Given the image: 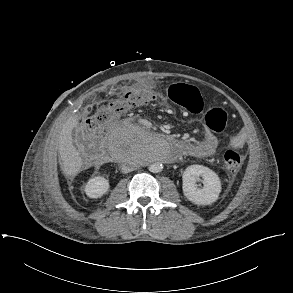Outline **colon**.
<instances>
[{
  "label": "colon",
  "instance_id": "5ec220e1",
  "mask_svg": "<svg viewBox=\"0 0 293 293\" xmlns=\"http://www.w3.org/2000/svg\"><path fill=\"white\" fill-rule=\"evenodd\" d=\"M153 93L145 87H133L125 94L109 103L97 107L87 121V129L91 133L100 132L109 122L128 111L149 104ZM171 100L178 106L198 113L203 108V100L199 91L191 85L177 84L172 87ZM229 120V114L222 108H210L204 116L205 125L215 133H222ZM222 159L226 170L236 172L242 164L241 155L231 149L224 150Z\"/></svg>",
  "mask_w": 293,
  "mask_h": 293
}]
</instances>
